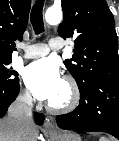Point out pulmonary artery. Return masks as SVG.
Listing matches in <instances>:
<instances>
[{"label":"pulmonary artery","instance_id":"pulmonary-artery-1","mask_svg":"<svg viewBox=\"0 0 119 141\" xmlns=\"http://www.w3.org/2000/svg\"><path fill=\"white\" fill-rule=\"evenodd\" d=\"M24 49V57L27 59L38 58L45 56L51 49L60 50L63 48V43L61 40L57 38H52L49 42L46 43H38L30 46L23 45Z\"/></svg>","mask_w":119,"mask_h":141}]
</instances>
